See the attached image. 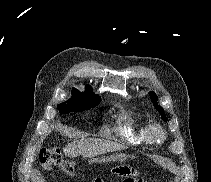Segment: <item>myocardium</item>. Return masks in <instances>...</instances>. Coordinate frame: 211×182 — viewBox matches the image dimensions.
Returning a JSON list of instances; mask_svg holds the SVG:
<instances>
[{"instance_id": "f54148a6", "label": "myocardium", "mask_w": 211, "mask_h": 182, "mask_svg": "<svg viewBox=\"0 0 211 182\" xmlns=\"http://www.w3.org/2000/svg\"><path fill=\"white\" fill-rule=\"evenodd\" d=\"M145 136L149 143L157 144L165 139V131L161 125L153 123L147 125Z\"/></svg>"}]
</instances>
